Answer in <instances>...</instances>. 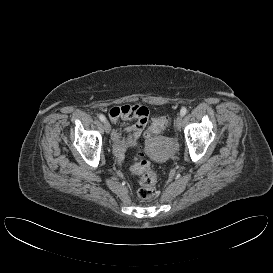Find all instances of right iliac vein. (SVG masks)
<instances>
[{"mask_svg": "<svg viewBox=\"0 0 273 273\" xmlns=\"http://www.w3.org/2000/svg\"><path fill=\"white\" fill-rule=\"evenodd\" d=\"M104 129H105V132H106L107 134L110 133V131H111V126H110V124H109L108 121H104Z\"/></svg>", "mask_w": 273, "mask_h": 273, "instance_id": "63e3f726", "label": "right iliac vein"}]
</instances>
